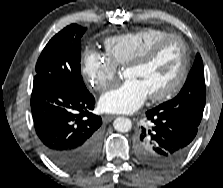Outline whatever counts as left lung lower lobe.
<instances>
[{
	"label": "left lung lower lobe",
	"instance_id": "0a47b994",
	"mask_svg": "<svg viewBox=\"0 0 223 188\" xmlns=\"http://www.w3.org/2000/svg\"><path fill=\"white\" fill-rule=\"evenodd\" d=\"M154 126L143 127L135 138L136 154L145 164L164 168L180 161L188 152L195 138L198 126L173 119L155 108L146 112Z\"/></svg>",
	"mask_w": 223,
	"mask_h": 188
}]
</instances>
